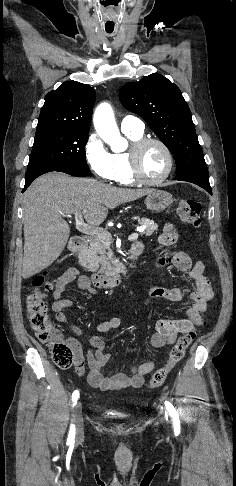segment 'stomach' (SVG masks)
<instances>
[{
    "mask_svg": "<svg viewBox=\"0 0 236 486\" xmlns=\"http://www.w3.org/2000/svg\"><path fill=\"white\" fill-rule=\"evenodd\" d=\"M172 202V195L164 190H153L147 194L145 199L147 209L152 212L164 211Z\"/></svg>",
    "mask_w": 236,
    "mask_h": 486,
    "instance_id": "obj_1",
    "label": "stomach"
}]
</instances>
